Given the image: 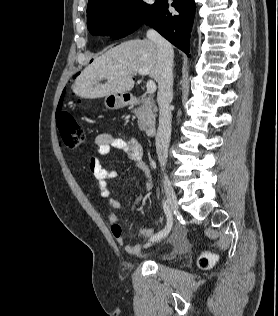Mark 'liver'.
<instances>
[{
    "instance_id": "obj_1",
    "label": "liver",
    "mask_w": 278,
    "mask_h": 316,
    "mask_svg": "<svg viewBox=\"0 0 278 316\" xmlns=\"http://www.w3.org/2000/svg\"><path fill=\"white\" fill-rule=\"evenodd\" d=\"M149 70L157 83L161 80V61L157 45L147 39L130 40L94 59L76 79L73 92L86 99L124 94L134 87L139 69ZM107 79L105 84L101 80Z\"/></svg>"
}]
</instances>
